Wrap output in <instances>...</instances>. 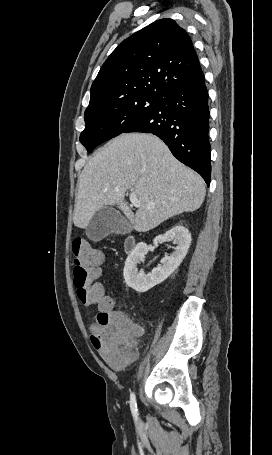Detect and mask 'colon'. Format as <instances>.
I'll return each instance as SVG.
<instances>
[{"instance_id":"5ec220e1","label":"colon","mask_w":272,"mask_h":455,"mask_svg":"<svg viewBox=\"0 0 272 455\" xmlns=\"http://www.w3.org/2000/svg\"><path fill=\"white\" fill-rule=\"evenodd\" d=\"M74 264V286L78 299L99 308L96 323L91 329V342L103 360L112 367L124 366L140 328L121 314L115 313L113 300L95 282L103 261L102 252L83 238H75L71 245Z\"/></svg>"}]
</instances>
